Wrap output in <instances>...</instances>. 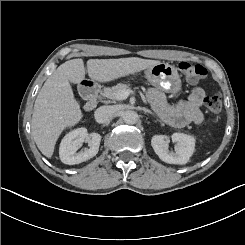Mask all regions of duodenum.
Listing matches in <instances>:
<instances>
[{"label": "duodenum", "instance_id": "1", "mask_svg": "<svg viewBox=\"0 0 245 245\" xmlns=\"http://www.w3.org/2000/svg\"><path fill=\"white\" fill-rule=\"evenodd\" d=\"M83 94L86 98L85 110L92 111L97 106V89L90 84H87L82 89Z\"/></svg>", "mask_w": 245, "mask_h": 245}]
</instances>
